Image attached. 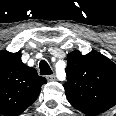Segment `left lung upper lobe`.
<instances>
[{
  "label": "left lung upper lobe",
  "mask_w": 116,
  "mask_h": 116,
  "mask_svg": "<svg viewBox=\"0 0 116 116\" xmlns=\"http://www.w3.org/2000/svg\"><path fill=\"white\" fill-rule=\"evenodd\" d=\"M67 64L64 88L73 107L95 115L116 104V64L110 59L96 51L82 55L75 50L67 55Z\"/></svg>",
  "instance_id": "1"
}]
</instances>
